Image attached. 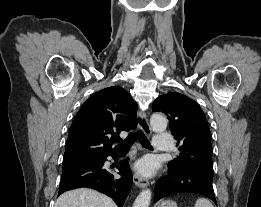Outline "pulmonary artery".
Here are the masks:
<instances>
[{
	"label": "pulmonary artery",
	"instance_id": "pulmonary-artery-1",
	"mask_svg": "<svg viewBox=\"0 0 261 207\" xmlns=\"http://www.w3.org/2000/svg\"><path fill=\"white\" fill-rule=\"evenodd\" d=\"M154 147L159 151H169L172 148V138L169 133H159L155 136Z\"/></svg>",
	"mask_w": 261,
	"mask_h": 207
}]
</instances>
